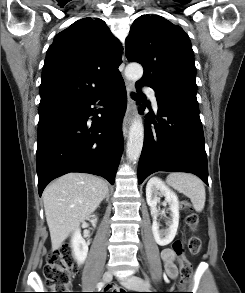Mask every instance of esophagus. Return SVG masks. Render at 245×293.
<instances>
[{"label":"esophagus","instance_id":"34e87169","mask_svg":"<svg viewBox=\"0 0 245 293\" xmlns=\"http://www.w3.org/2000/svg\"><path fill=\"white\" fill-rule=\"evenodd\" d=\"M122 67H124V62L122 63ZM125 84H126L128 99H127V109L124 116L123 127H122L124 138H126L128 135L130 120L133 116V100L131 98V94L134 91V84L132 82L125 80Z\"/></svg>","mask_w":245,"mask_h":293}]
</instances>
